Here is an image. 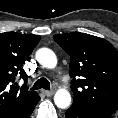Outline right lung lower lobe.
Segmentation results:
<instances>
[{
	"mask_svg": "<svg viewBox=\"0 0 118 118\" xmlns=\"http://www.w3.org/2000/svg\"><path fill=\"white\" fill-rule=\"evenodd\" d=\"M31 113H32V112H31ZM31 113L28 115V117L31 115ZM28 117H27V118H28Z\"/></svg>",
	"mask_w": 118,
	"mask_h": 118,
	"instance_id": "1",
	"label": "right lung lower lobe"
}]
</instances>
